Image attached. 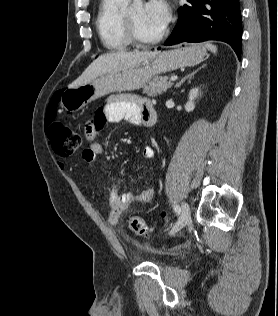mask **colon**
I'll list each match as a JSON object with an SVG mask.
<instances>
[{"mask_svg": "<svg viewBox=\"0 0 278 316\" xmlns=\"http://www.w3.org/2000/svg\"><path fill=\"white\" fill-rule=\"evenodd\" d=\"M48 139L55 154L69 156L75 153L82 145L81 134L61 123H53L47 130ZM129 229L139 235L148 236L149 228L144 219L138 215H130L127 219Z\"/></svg>", "mask_w": 278, "mask_h": 316, "instance_id": "1", "label": "colon"}]
</instances>
